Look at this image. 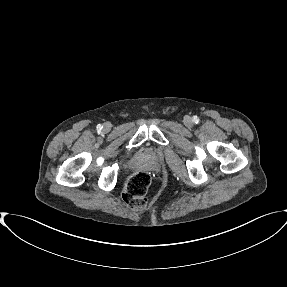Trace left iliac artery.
<instances>
[{"instance_id":"1","label":"left iliac artery","mask_w":287,"mask_h":287,"mask_svg":"<svg viewBox=\"0 0 287 287\" xmlns=\"http://www.w3.org/2000/svg\"><path fill=\"white\" fill-rule=\"evenodd\" d=\"M193 122L197 124L199 122V118L197 116H194L193 117Z\"/></svg>"}]
</instances>
